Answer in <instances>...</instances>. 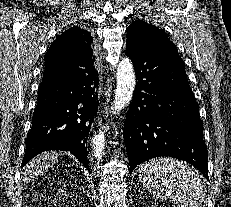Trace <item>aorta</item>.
<instances>
[{"label": "aorta", "mask_w": 231, "mask_h": 207, "mask_svg": "<svg viewBox=\"0 0 231 207\" xmlns=\"http://www.w3.org/2000/svg\"><path fill=\"white\" fill-rule=\"evenodd\" d=\"M136 85L135 72L133 64L129 58L122 59L117 67V87L115 91L114 104L112 114L116 115L132 99L134 88ZM105 132L101 131L93 139V156L99 160L103 157L105 147Z\"/></svg>", "instance_id": "1"}]
</instances>
